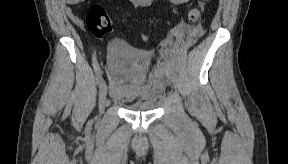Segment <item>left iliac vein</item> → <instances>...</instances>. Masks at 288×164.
Here are the masks:
<instances>
[{"instance_id":"4c4485c4","label":"left iliac vein","mask_w":288,"mask_h":164,"mask_svg":"<svg viewBox=\"0 0 288 164\" xmlns=\"http://www.w3.org/2000/svg\"><path fill=\"white\" fill-rule=\"evenodd\" d=\"M167 79H168L169 82H171V83L175 86V79H174V77H172L171 75H168V76H167Z\"/></svg>"}]
</instances>
